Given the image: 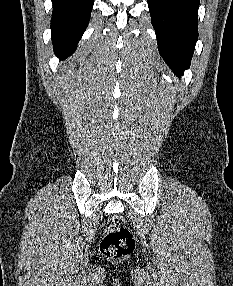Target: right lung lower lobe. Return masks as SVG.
I'll list each match as a JSON object with an SVG mask.
<instances>
[{
    "instance_id": "98d812e1",
    "label": "right lung lower lobe",
    "mask_w": 233,
    "mask_h": 286,
    "mask_svg": "<svg viewBox=\"0 0 233 286\" xmlns=\"http://www.w3.org/2000/svg\"><path fill=\"white\" fill-rule=\"evenodd\" d=\"M94 0H52V43L55 54L64 59L71 55L90 19Z\"/></svg>"
}]
</instances>
